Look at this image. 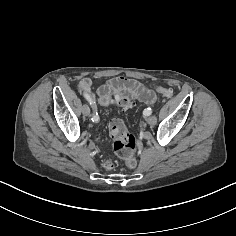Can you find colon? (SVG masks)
I'll list each match as a JSON object with an SVG mask.
<instances>
[{
  "instance_id": "colon-1",
  "label": "colon",
  "mask_w": 236,
  "mask_h": 236,
  "mask_svg": "<svg viewBox=\"0 0 236 236\" xmlns=\"http://www.w3.org/2000/svg\"><path fill=\"white\" fill-rule=\"evenodd\" d=\"M155 91L162 94L167 99L174 97V92L170 88L155 86ZM102 106L118 105L124 109L130 108L132 101L130 97L118 91L102 94L99 98ZM109 134L113 140V148L118 157H120L128 168L136 166V141L134 136L128 131L124 122L119 118H114L109 122Z\"/></svg>"
}]
</instances>
